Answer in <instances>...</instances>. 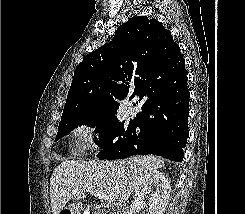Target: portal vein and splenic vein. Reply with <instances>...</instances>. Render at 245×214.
Here are the masks:
<instances>
[{"mask_svg": "<svg viewBox=\"0 0 245 214\" xmlns=\"http://www.w3.org/2000/svg\"><path fill=\"white\" fill-rule=\"evenodd\" d=\"M88 192L95 195L99 199H104L107 203H113L115 201L114 195L111 194H103L100 192L95 191L92 187L88 186L87 184H81Z\"/></svg>", "mask_w": 245, "mask_h": 214, "instance_id": "1", "label": "portal vein and splenic vein"}]
</instances>
